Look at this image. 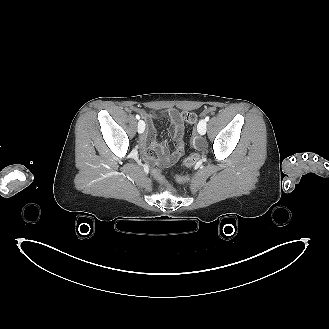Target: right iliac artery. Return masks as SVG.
<instances>
[{
    "label": "right iliac artery",
    "instance_id": "1",
    "mask_svg": "<svg viewBox=\"0 0 329 329\" xmlns=\"http://www.w3.org/2000/svg\"><path fill=\"white\" fill-rule=\"evenodd\" d=\"M136 119H138V120L140 119V116L138 114L136 115Z\"/></svg>",
    "mask_w": 329,
    "mask_h": 329
}]
</instances>
